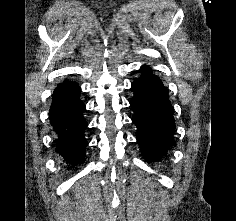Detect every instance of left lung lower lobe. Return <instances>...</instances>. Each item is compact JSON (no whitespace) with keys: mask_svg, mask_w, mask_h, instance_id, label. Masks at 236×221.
<instances>
[{"mask_svg":"<svg viewBox=\"0 0 236 221\" xmlns=\"http://www.w3.org/2000/svg\"><path fill=\"white\" fill-rule=\"evenodd\" d=\"M141 76L131 85L135 91L130 105L134 110L132 121L138 128L137 141L148 161L160 158L175 145V121L167 88L148 66L141 67Z\"/></svg>","mask_w":236,"mask_h":221,"instance_id":"obj_1","label":"left lung lower lobe"}]
</instances>
